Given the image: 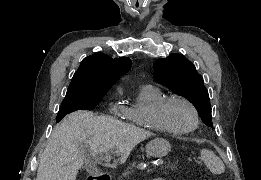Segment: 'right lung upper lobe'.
<instances>
[{"label": "right lung upper lobe", "instance_id": "1", "mask_svg": "<svg viewBox=\"0 0 261 180\" xmlns=\"http://www.w3.org/2000/svg\"><path fill=\"white\" fill-rule=\"evenodd\" d=\"M127 57L112 59L103 53L86 57L75 72L68 90L107 92L131 68Z\"/></svg>", "mask_w": 261, "mask_h": 180}]
</instances>
